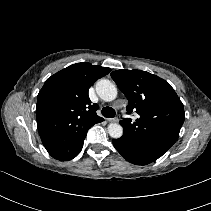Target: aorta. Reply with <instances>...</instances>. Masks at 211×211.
Listing matches in <instances>:
<instances>
[{
    "label": "aorta",
    "instance_id": "aorta-1",
    "mask_svg": "<svg viewBox=\"0 0 211 211\" xmlns=\"http://www.w3.org/2000/svg\"><path fill=\"white\" fill-rule=\"evenodd\" d=\"M96 92L98 96L106 101H113L117 97L116 86L107 79H102L96 84ZM108 133L112 138L118 139L123 134V128L117 123H111L108 125Z\"/></svg>",
    "mask_w": 211,
    "mask_h": 211
}]
</instances>
